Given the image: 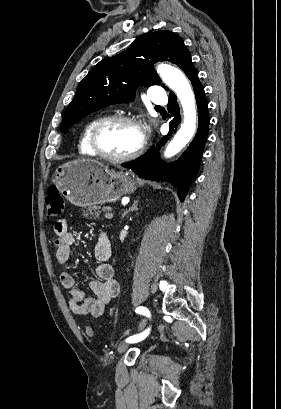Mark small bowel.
<instances>
[{"label":"small bowel","instance_id":"1","mask_svg":"<svg viewBox=\"0 0 281 409\" xmlns=\"http://www.w3.org/2000/svg\"><path fill=\"white\" fill-rule=\"evenodd\" d=\"M52 231L57 262L65 265L70 259L71 246L76 242V237L69 230L66 219L57 220L52 226ZM111 255L110 239L106 233L100 232L94 247V258L97 261L95 274L98 280L90 283L94 297L86 296L75 287V278L71 272L64 271L60 274L61 285L70 292L68 306L72 313L101 317L109 302L119 295L120 285L115 279L114 267L108 262Z\"/></svg>","mask_w":281,"mask_h":409}]
</instances>
